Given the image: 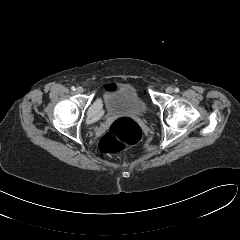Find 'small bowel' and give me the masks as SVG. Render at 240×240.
<instances>
[{
    "label": "small bowel",
    "mask_w": 240,
    "mask_h": 240,
    "mask_svg": "<svg viewBox=\"0 0 240 240\" xmlns=\"http://www.w3.org/2000/svg\"><path fill=\"white\" fill-rule=\"evenodd\" d=\"M115 87V84L111 83V84H108L106 86V88L108 89H111ZM102 114V105H101V101L100 100H97L94 102V104L92 105L91 109H90V113H89V117H90V120L94 121V120H97L99 119V117L101 116Z\"/></svg>",
    "instance_id": "c3829d8e"
}]
</instances>
